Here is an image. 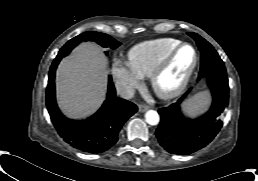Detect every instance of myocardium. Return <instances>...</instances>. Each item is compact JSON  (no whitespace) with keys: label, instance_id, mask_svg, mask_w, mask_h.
<instances>
[{"label":"myocardium","instance_id":"obj_1","mask_svg":"<svg viewBox=\"0 0 258 181\" xmlns=\"http://www.w3.org/2000/svg\"><path fill=\"white\" fill-rule=\"evenodd\" d=\"M184 47H190L194 53V60L191 66L186 70L181 80L177 85L170 89L163 88L160 84V80L164 73L172 66L177 54ZM199 63V55L197 49L190 43H180L173 50H171L165 57H163L153 70L150 80L151 85L156 93L162 99H172L180 95L187 87L193 73L195 72Z\"/></svg>","mask_w":258,"mask_h":181}]
</instances>
